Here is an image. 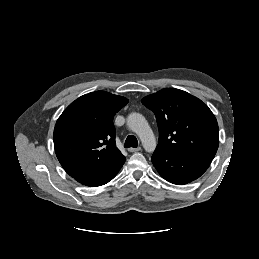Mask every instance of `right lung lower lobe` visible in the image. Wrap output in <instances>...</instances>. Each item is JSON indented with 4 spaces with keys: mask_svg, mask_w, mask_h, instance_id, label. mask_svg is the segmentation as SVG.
Returning <instances> with one entry per match:
<instances>
[{
    "mask_svg": "<svg viewBox=\"0 0 259 259\" xmlns=\"http://www.w3.org/2000/svg\"><path fill=\"white\" fill-rule=\"evenodd\" d=\"M125 160L126 158L124 157L123 159H121L116 164H114L107 170L103 171L102 173H99L94 176L77 178L76 180L86 186L96 187L104 185L116 176L120 168L123 166Z\"/></svg>",
    "mask_w": 259,
    "mask_h": 259,
    "instance_id": "98d812e1",
    "label": "right lung lower lobe"
}]
</instances>
